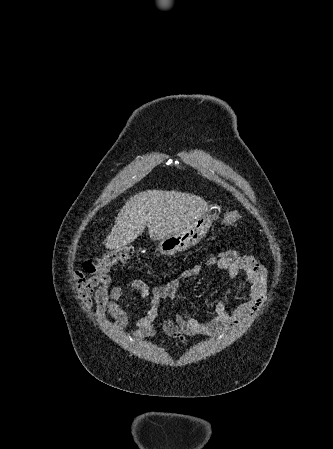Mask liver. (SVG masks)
<instances>
[{"label": "liver", "instance_id": "obj_1", "mask_svg": "<svg viewBox=\"0 0 333 449\" xmlns=\"http://www.w3.org/2000/svg\"><path fill=\"white\" fill-rule=\"evenodd\" d=\"M208 211L199 196L162 190H148L131 197L120 209L105 246L119 250L142 235L148 227L151 240L176 234Z\"/></svg>", "mask_w": 333, "mask_h": 449}]
</instances>
